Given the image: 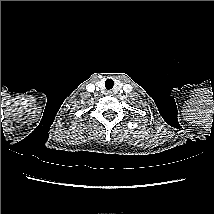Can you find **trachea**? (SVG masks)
Here are the masks:
<instances>
[{"mask_svg": "<svg viewBox=\"0 0 214 214\" xmlns=\"http://www.w3.org/2000/svg\"><path fill=\"white\" fill-rule=\"evenodd\" d=\"M113 86H114V82H113L112 79H107L105 81V87H106V89L110 90V89L113 88Z\"/></svg>", "mask_w": 214, "mask_h": 214, "instance_id": "3493384b", "label": "trachea"}]
</instances>
